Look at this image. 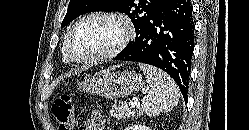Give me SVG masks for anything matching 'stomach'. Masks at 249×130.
Wrapping results in <instances>:
<instances>
[{"instance_id": "obj_1", "label": "stomach", "mask_w": 249, "mask_h": 130, "mask_svg": "<svg viewBox=\"0 0 249 130\" xmlns=\"http://www.w3.org/2000/svg\"><path fill=\"white\" fill-rule=\"evenodd\" d=\"M143 86V79L134 71H102L85 79L78 90L105 98H119L137 92Z\"/></svg>"}]
</instances>
